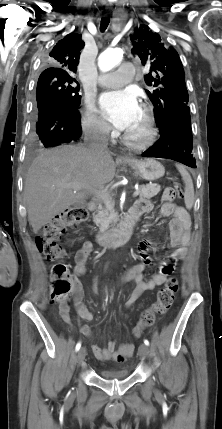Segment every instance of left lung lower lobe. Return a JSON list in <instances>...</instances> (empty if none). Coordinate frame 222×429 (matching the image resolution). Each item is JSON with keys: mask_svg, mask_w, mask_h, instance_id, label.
<instances>
[{"mask_svg": "<svg viewBox=\"0 0 222 429\" xmlns=\"http://www.w3.org/2000/svg\"><path fill=\"white\" fill-rule=\"evenodd\" d=\"M158 128L160 139L142 155L172 159L196 168L195 158L191 154L193 136L190 113L185 112L172 116Z\"/></svg>", "mask_w": 222, "mask_h": 429, "instance_id": "obj_1", "label": "left lung lower lobe"}]
</instances>
